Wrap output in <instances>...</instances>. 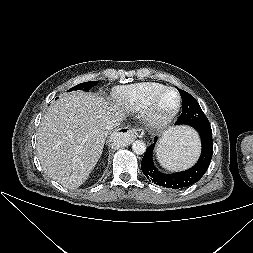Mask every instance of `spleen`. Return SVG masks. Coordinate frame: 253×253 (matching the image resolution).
<instances>
[{
  "instance_id": "1",
  "label": "spleen",
  "mask_w": 253,
  "mask_h": 253,
  "mask_svg": "<svg viewBox=\"0 0 253 253\" xmlns=\"http://www.w3.org/2000/svg\"><path fill=\"white\" fill-rule=\"evenodd\" d=\"M200 142L191 129L179 127L165 131L156 148V156L167 170H180L190 167L198 158Z\"/></svg>"
}]
</instances>
